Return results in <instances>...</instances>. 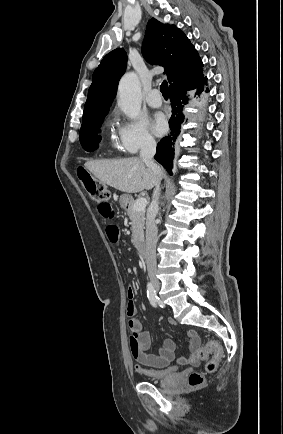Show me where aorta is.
I'll return each instance as SVG.
<instances>
[{
  "mask_svg": "<svg viewBox=\"0 0 283 434\" xmlns=\"http://www.w3.org/2000/svg\"><path fill=\"white\" fill-rule=\"evenodd\" d=\"M118 106L130 119H136L141 110V86L134 72L126 73L118 85Z\"/></svg>",
  "mask_w": 283,
  "mask_h": 434,
  "instance_id": "762f6f07",
  "label": "aorta"
}]
</instances>
